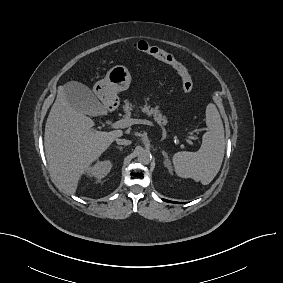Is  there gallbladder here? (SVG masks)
Instances as JSON below:
<instances>
[{"instance_id":"gallbladder-1","label":"gallbladder","mask_w":283,"mask_h":283,"mask_svg":"<svg viewBox=\"0 0 283 283\" xmlns=\"http://www.w3.org/2000/svg\"><path fill=\"white\" fill-rule=\"evenodd\" d=\"M64 92L69 105L80 113L97 115L105 110L92 91L82 83L68 82L64 86Z\"/></svg>"}]
</instances>
